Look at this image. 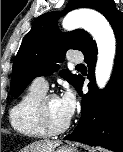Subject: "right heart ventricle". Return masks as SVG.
Returning <instances> with one entry per match:
<instances>
[{
	"label": "right heart ventricle",
	"instance_id": "1",
	"mask_svg": "<svg viewBox=\"0 0 123 152\" xmlns=\"http://www.w3.org/2000/svg\"><path fill=\"white\" fill-rule=\"evenodd\" d=\"M45 91L31 86L10 110L12 128L29 138H44L48 134L41 127L37 117V105Z\"/></svg>",
	"mask_w": 123,
	"mask_h": 152
}]
</instances>
